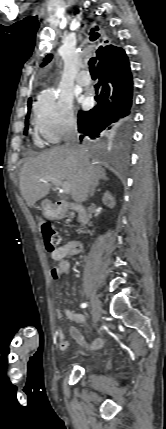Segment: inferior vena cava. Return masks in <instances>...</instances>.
Returning <instances> with one entry per match:
<instances>
[{"mask_svg": "<svg viewBox=\"0 0 166 429\" xmlns=\"http://www.w3.org/2000/svg\"><path fill=\"white\" fill-rule=\"evenodd\" d=\"M79 134L77 131V126L73 125L67 132L66 135V147L76 151L78 154H83L84 150L78 145Z\"/></svg>", "mask_w": 166, "mask_h": 429, "instance_id": "602c4592", "label": "inferior vena cava"}]
</instances>
